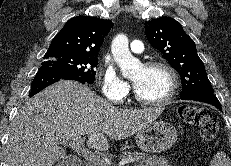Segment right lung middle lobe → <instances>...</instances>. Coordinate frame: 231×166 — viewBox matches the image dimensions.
I'll use <instances>...</instances> for the list:
<instances>
[{
	"instance_id": "obj_1",
	"label": "right lung middle lobe",
	"mask_w": 231,
	"mask_h": 166,
	"mask_svg": "<svg viewBox=\"0 0 231 166\" xmlns=\"http://www.w3.org/2000/svg\"><path fill=\"white\" fill-rule=\"evenodd\" d=\"M97 64V56L46 53L41 66L53 67L80 76L87 83H93Z\"/></svg>"
}]
</instances>
